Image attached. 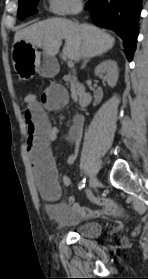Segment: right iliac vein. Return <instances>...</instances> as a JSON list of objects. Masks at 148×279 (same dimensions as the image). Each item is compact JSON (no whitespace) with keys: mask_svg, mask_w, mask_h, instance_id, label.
<instances>
[{"mask_svg":"<svg viewBox=\"0 0 148 279\" xmlns=\"http://www.w3.org/2000/svg\"><path fill=\"white\" fill-rule=\"evenodd\" d=\"M98 181L97 178L95 176H92L90 178L89 181V190H88V194H91L92 190L95 189L97 187Z\"/></svg>","mask_w":148,"mask_h":279,"instance_id":"obj_1","label":"right iliac vein"}]
</instances>
